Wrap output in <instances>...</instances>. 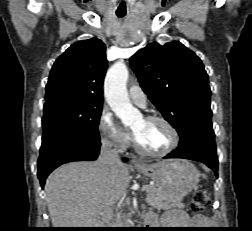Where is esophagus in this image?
<instances>
[{
	"instance_id": "esophagus-1",
	"label": "esophagus",
	"mask_w": 252,
	"mask_h": 231,
	"mask_svg": "<svg viewBox=\"0 0 252 231\" xmlns=\"http://www.w3.org/2000/svg\"><path fill=\"white\" fill-rule=\"evenodd\" d=\"M132 163L134 166H142V163L138 160H133Z\"/></svg>"
}]
</instances>
